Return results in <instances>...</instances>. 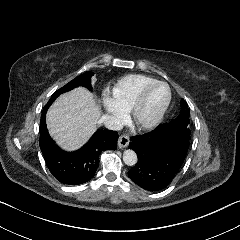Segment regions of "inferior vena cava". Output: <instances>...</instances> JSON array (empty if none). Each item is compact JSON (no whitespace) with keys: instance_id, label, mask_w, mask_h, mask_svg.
<instances>
[{"instance_id":"obj_1","label":"inferior vena cava","mask_w":240,"mask_h":240,"mask_svg":"<svg viewBox=\"0 0 240 240\" xmlns=\"http://www.w3.org/2000/svg\"><path fill=\"white\" fill-rule=\"evenodd\" d=\"M100 121L110 130H121L123 128L121 122L114 116H102Z\"/></svg>"}]
</instances>
